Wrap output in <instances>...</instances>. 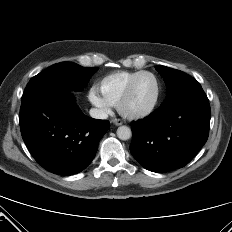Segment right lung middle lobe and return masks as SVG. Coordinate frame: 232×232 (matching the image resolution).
I'll return each instance as SVG.
<instances>
[{
    "instance_id": "right-lung-middle-lobe-1",
    "label": "right lung middle lobe",
    "mask_w": 232,
    "mask_h": 232,
    "mask_svg": "<svg viewBox=\"0 0 232 232\" xmlns=\"http://www.w3.org/2000/svg\"><path fill=\"white\" fill-rule=\"evenodd\" d=\"M97 70L98 67H82L71 62L54 64L29 81L23 93L22 100L36 93L53 89L81 91Z\"/></svg>"
}]
</instances>
